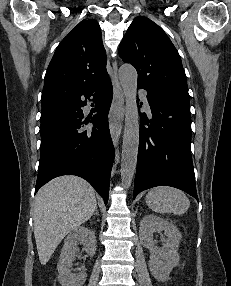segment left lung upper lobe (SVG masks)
Here are the masks:
<instances>
[{"instance_id": "1", "label": "left lung upper lobe", "mask_w": 231, "mask_h": 286, "mask_svg": "<svg viewBox=\"0 0 231 286\" xmlns=\"http://www.w3.org/2000/svg\"><path fill=\"white\" fill-rule=\"evenodd\" d=\"M119 54L136 68L138 86L189 99L180 56L166 33L150 19H134L120 43Z\"/></svg>"}]
</instances>
